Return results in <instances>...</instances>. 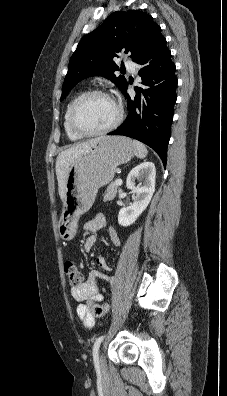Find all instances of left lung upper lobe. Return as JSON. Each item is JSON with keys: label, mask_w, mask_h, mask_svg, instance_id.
I'll list each match as a JSON object with an SVG mask.
<instances>
[{"label": "left lung upper lobe", "mask_w": 227, "mask_h": 396, "mask_svg": "<svg viewBox=\"0 0 227 396\" xmlns=\"http://www.w3.org/2000/svg\"><path fill=\"white\" fill-rule=\"evenodd\" d=\"M160 37L161 28L151 15L139 10L112 13L79 42L69 62L61 100L79 81L89 76L106 77L122 91L127 81L124 76L114 74L119 67L113 59L123 52L129 53L135 61Z\"/></svg>", "instance_id": "left-lung-upper-lobe-1"}]
</instances>
